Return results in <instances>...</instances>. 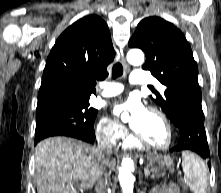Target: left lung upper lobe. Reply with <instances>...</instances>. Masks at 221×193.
I'll list each match as a JSON object with an SVG mask.
<instances>
[{
	"mask_svg": "<svg viewBox=\"0 0 221 193\" xmlns=\"http://www.w3.org/2000/svg\"><path fill=\"white\" fill-rule=\"evenodd\" d=\"M128 44L145 52L142 68L167 87L164 95L155 93L152 99L178 127L185 105L202 99L197 65L186 38L170 22L148 17L138 24Z\"/></svg>",
	"mask_w": 221,
	"mask_h": 193,
	"instance_id": "obj_1",
	"label": "left lung upper lobe"
}]
</instances>
